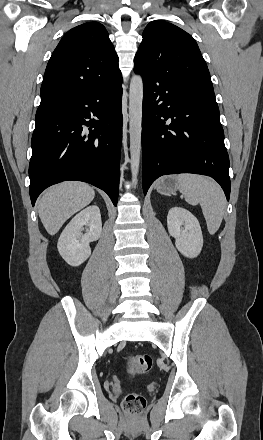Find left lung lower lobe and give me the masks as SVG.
Wrapping results in <instances>:
<instances>
[{
    "label": "left lung lower lobe",
    "mask_w": 263,
    "mask_h": 440,
    "mask_svg": "<svg viewBox=\"0 0 263 440\" xmlns=\"http://www.w3.org/2000/svg\"><path fill=\"white\" fill-rule=\"evenodd\" d=\"M134 71L142 75L144 87V194L162 175L195 173L214 178L229 200V156L214 92L194 87L171 73L138 67Z\"/></svg>",
    "instance_id": "0a47b994"
}]
</instances>
